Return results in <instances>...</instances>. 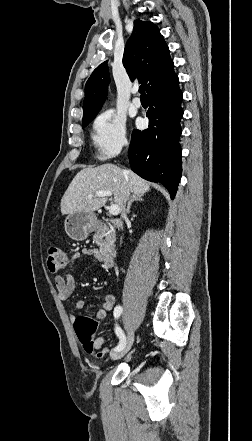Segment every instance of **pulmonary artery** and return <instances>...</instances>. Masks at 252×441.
Segmentation results:
<instances>
[{
  "label": "pulmonary artery",
  "instance_id": "pulmonary-artery-1",
  "mask_svg": "<svg viewBox=\"0 0 252 441\" xmlns=\"http://www.w3.org/2000/svg\"><path fill=\"white\" fill-rule=\"evenodd\" d=\"M137 93V89H133V94H136ZM132 104L135 106V107H137V108H139V107H141V100H140V98L139 97H134L133 99H132Z\"/></svg>",
  "mask_w": 252,
  "mask_h": 441
}]
</instances>
